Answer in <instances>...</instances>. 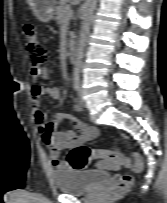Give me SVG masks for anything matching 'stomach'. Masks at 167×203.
I'll return each mask as SVG.
<instances>
[{
  "mask_svg": "<svg viewBox=\"0 0 167 203\" xmlns=\"http://www.w3.org/2000/svg\"><path fill=\"white\" fill-rule=\"evenodd\" d=\"M27 5L41 22H49L54 17L56 0H26Z\"/></svg>",
  "mask_w": 167,
  "mask_h": 203,
  "instance_id": "1",
  "label": "stomach"
}]
</instances>
